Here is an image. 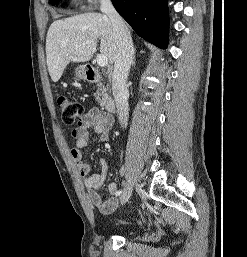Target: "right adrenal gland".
I'll return each instance as SVG.
<instances>
[{
	"instance_id": "2a0ac1e0",
	"label": "right adrenal gland",
	"mask_w": 247,
	"mask_h": 257,
	"mask_svg": "<svg viewBox=\"0 0 247 257\" xmlns=\"http://www.w3.org/2000/svg\"><path fill=\"white\" fill-rule=\"evenodd\" d=\"M132 65H135V50H134V56H133V61H132Z\"/></svg>"
}]
</instances>
